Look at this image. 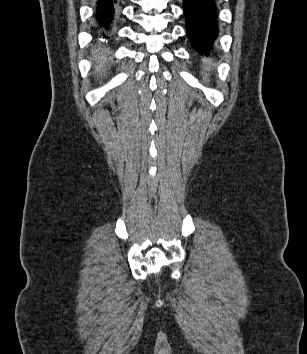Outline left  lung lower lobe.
<instances>
[{
	"label": "left lung lower lobe",
	"instance_id": "obj_1",
	"mask_svg": "<svg viewBox=\"0 0 307 354\" xmlns=\"http://www.w3.org/2000/svg\"><path fill=\"white\" fill-rule=\"evenodd\" d=\"M186 31L194 49L207 54L213 49L218 34L216 0H184Z\"/></svg>",
	"mask_w": 307,
	"mask_h": 354
}]
</instances>
